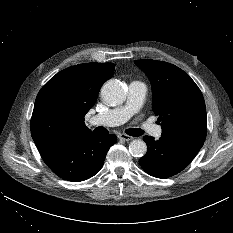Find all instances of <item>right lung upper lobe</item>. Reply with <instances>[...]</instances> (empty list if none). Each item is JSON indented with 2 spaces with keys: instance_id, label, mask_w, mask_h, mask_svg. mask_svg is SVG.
I'll return each instance as SVG.
<instances>
[{
  "instance_id": "right-lung-upper-lobe-1",
  "label": "right lung upper lobe",
  "mask_w": 233,
  "mask_h": 233,
  "mask_svg": "<svg viewBox=\"0 0 233 233\" xmlns=\"http://www.w3.org/2000/svg\"><path fill=\"white\" fill-rule=\"evenodd\" d=\"M114 69L113 63L78 64L60 71L41 88L31 118V135L39 150L92 133L84 116Z\"/></svg>"
}]
</instances>
